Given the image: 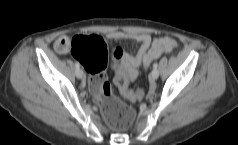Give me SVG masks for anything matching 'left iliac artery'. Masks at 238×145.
<instances>
[{
  "label": "left iliac artery",
  "instance_id": "44dca946",
  "mask_svg": "<svg viewBox=\"0 0 238 145\" xmlns=\"http://www.w3.org/2000/svg\"><path fill=\"white\" fill-rule=\"evenodd\" d=\"M153 67H154V68H157V67H158V64H157V63H154V64H153Z\"/></svg>",
  "mask_w": 238,
  "mask_h": 145
}]
</instances>
